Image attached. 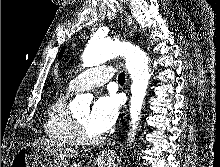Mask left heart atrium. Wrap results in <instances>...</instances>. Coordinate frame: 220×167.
<instances>
[{
    "instance_id": "left-heart-atrium-1",
    "label": "left heart atrium",
    "mask_w": 220,
    "mask_h": 167,
    "mask_svg": "<svg viewBox=\"0 0 220 167\" xmlns=\"http://www.w3.org/2000/svg\"><path fill=\"white\" fill-rule=\"evenodd\" d=\"M119 101L116 95L106 94L97 98L88 114V127L96 134L109 130L116 122Z\"/></svg>"
}]
</instances>
